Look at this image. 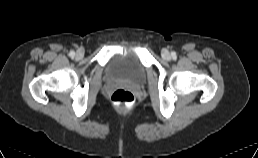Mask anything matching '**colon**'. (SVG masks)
I'll return each mask as SVG.
<instances>
[{"label":"colon","mask_w":258,"mask_h":158,"mask_svg":"<svg viewBox=\"0 0 258 158\" xmlns=\"http://www.w3.org/2000/svg\"><path fill=\"white\" fill-rule=\"evenodd\" d=\"M111 100L115 104L130 107L133 105L135 98L132 92L126 89H118L111 95Z\"/></svg>","instance_id":"1"}]
</instances>
